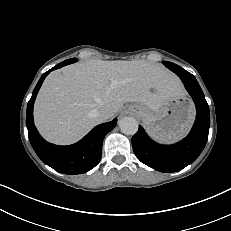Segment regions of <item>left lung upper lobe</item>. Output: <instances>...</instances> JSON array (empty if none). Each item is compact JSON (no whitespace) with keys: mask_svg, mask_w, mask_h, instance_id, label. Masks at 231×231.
I'll return each instance as SVG.
<instances>
[{"mask_svg":"<svg viewBox=\"0 0 231 231\" xmlns=\"http://www.w3.org/2000/svg\"><path fill=\"white\" fill-rule=\"evenodd\" d=\"M163 64L168 67L169 69L170 68H179L180 66L176 65V64H173L171 62H167V61H164Z\"/></svg>","mask_w":231,"mask_h":231,"instance_id":"left-lung-upper-lobe-1","label":"left lung upper lobe"}]
</instances>
